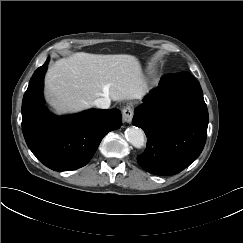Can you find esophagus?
<instances>
[{
  "label": "esophagus",
  "instance_id": "1",
  "mask_svg": "<svg viewBox=\"0 0 243 243\" xmlns=\"http://www.w3.org/2000/svg\"><path fill=\"white\" fill-rule=\"evenodd\" d=\"M134 116V111L131 106H125L122 110L123 121L126 123H131Z\"/></svg>",
  "mask_w": 243,
  "mask_h": 243
}]
</instances>
